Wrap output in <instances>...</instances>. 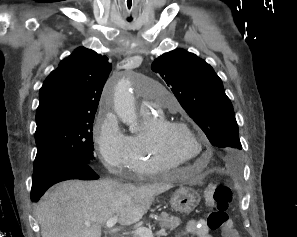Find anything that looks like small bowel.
I'll list each match as a JSON object with an SVG mask.
<instances>
[{
    "instance_id": "obj_1",
    "label": "small bowel",
    "mask_w": 297,
    "mask_h": 237,
    "mask_svg": "<svg viewBox=\"0 0 297 237\" xmlns=\"http://www.w3.org/2000/svg\"><path fill=\"white\" fill-rule=\"evenodd\" d=\"M183 234H193L196 237H212L206 222L202 219H195L188 222Z\"/></svg>"
}]
</instances>
